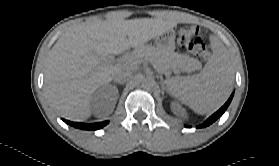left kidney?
<instances>
[{"label":"left kidney","mask_w":279,"mask_h":166,"mask_svg":"<svg viewBox=\"0 0 279 166\" xmlns=\"http://www.w3.org/2000/svg\"><path fill=\"white\" fill-rule=\"evenodd\" d=\"M172 109H173L175 112H179V111H180V108H179V107L173 106Z\"/></svg>","instance_id":"5707ae66"}]
</instances>
